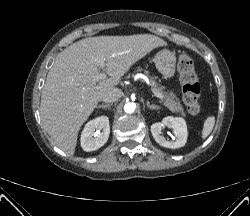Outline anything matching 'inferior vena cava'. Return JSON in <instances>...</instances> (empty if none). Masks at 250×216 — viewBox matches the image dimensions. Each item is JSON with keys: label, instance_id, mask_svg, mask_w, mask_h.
Instances as JSON below:
<instances>
[{"label": "inferior vena cava", "instance_id": "1", "mask_svg": "<svg viewBox=\"0 0 250 216\" xmlns=\"http://www.w3.org/2000/svg\"><path fill=\"white\" fill-rule=\"evenodd\" d=\"M123 95V92L118 88H109L104 91L101 96V100L105 103H113L120 99Z\"/></svg>", "mask_w": 250, "mask_h": 216}]
</instances>
